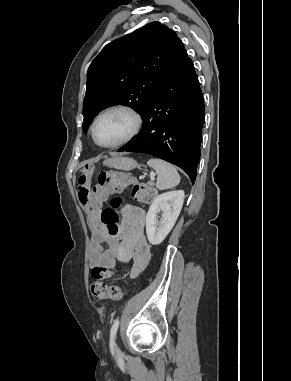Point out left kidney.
Wrapping results in <instances>:
<instances>
[{
  "mask_svg": "<svg viewBox=\"0 0 291 381\" xmlns=\"http://www.w3.org/2000/svg\"><path fill=\"white\" fill-rule=\"evenodd\" d=\"M184 191H168L156 196L146 215V234L152 245L163 242L172 230L183 206ZM162 211L160 221L157 213Z\"/></svg>",
  "mask_w": 291,
  "mask_h": 381,
  "instance_id": "5707ae66",
  "label": "left kidney"
}]
</instances>
